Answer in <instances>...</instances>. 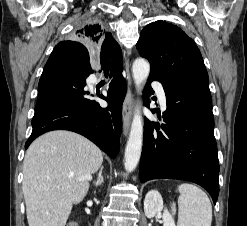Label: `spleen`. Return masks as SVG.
<instances>
[{"label": "spleen", "instance_id": "1", "mask_svg": "<svg viewBox=\"0 0 247 226\" xmlns=\"http://www.w3.org/2000/svg\"><path fill=\"white\" fill-rule=\"evenodd\" d=\"M178 226H211L212 206L204 191L184 183L178 186Z\"/></svg>", "mask_w": 247, "mask_h": 226}]
</instances>
